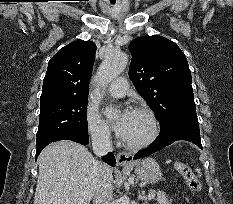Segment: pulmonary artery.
I'll use <instances>...</instances> for the list:
<instances>
[{
	"label": "pulmonary artery",
	"mask_w": 233,
	"mask_h": 204,
	"mask_svg": "<svg viewBox=\"0 0 233 204\" xmlns=\"http://www.w3.org/2000/svg\"><path fill=\"white\" fill-rule=\"evenodd\" d=\"M128 89L129 85L126 78L119 77L109 86L108 92L113 97L120 98L126 95Z\"/></svg>",
	"instance_id": "e3ab8cb5"
}]
</instances>
